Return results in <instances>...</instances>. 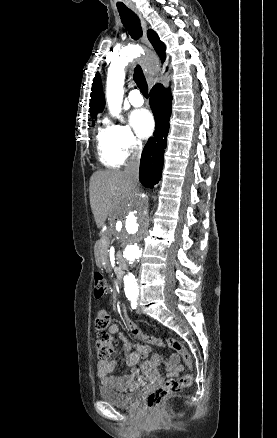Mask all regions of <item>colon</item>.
I'll return each instance as SVG.
<instances>
[{"mask_svg":"<svg viewBox=\"0 0 277 438\" xmlns=\"http://www.w3.org/2000/svg\"><path fill=\"white\" fill-rule=\"evenodd\" d=\"M94 298L101 300L105 297L107 292V282L104 275L97 271L94 274ZM110 321L109 312L105 308H99L95 317V326H99L105 329ZM144 341H147L156 345H167L176 350L181 357L188 361L189 354L182 344L174 339H167L163 342L157 338H150L145 336ZM96 347L98 350V359L103 361L107 359L114 351V343L111 335L108 332H99L96 335ZM192 384V377L190 374L180 376L178 379L164 380L163 386L160 389H150L149 393L144 394V408L145 409H160L161 402H165L166 398H173L175 394L180 393L184 389L190 387Z\"/></svg>","mask_w":277,"mask_h":438,"instance_id":"5ec220e1","label":"colon"}]
</instances>
